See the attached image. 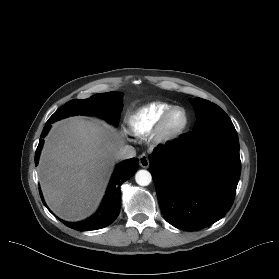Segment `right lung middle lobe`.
Returning a JSON list of instances; mask_svg holds the SVG:
<instances>
[{
    "mask_svg": "<svg viewBox=\"0 0 279 279\" xmlns=\"http://www.w3.org/2000/svg\"><path fill=\"white\" fill-rule=\"evenodd\" d=\"M122 95V93L108 92L96 94L84 100H71L55 112L46 124L76 114H97L117 124L122 111Z\"/></svg>",
    "mask_w": 279,
    "mask_h": 279,
    "instance_id": "obj_1",
    "label": "right lung middle lobe"
}]
</instances>
